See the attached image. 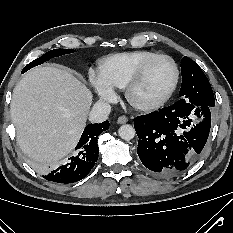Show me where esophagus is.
Here are the masks:
<instances>
[{"label":"esophagus","instance_id":"34e87169","mask_svg":"<svg viewBox=\"0 0 233 233\" xmlns=\"http://www.w3.org/2000/svg\"><path fill=\"white\" fill-rule=\"evenodd\" d=\"M128 122V118L126 116H120L118 119H117V123L118 124H125Z\"/></svg>","mask_w":233,"mask_h":233}]
</instances>
